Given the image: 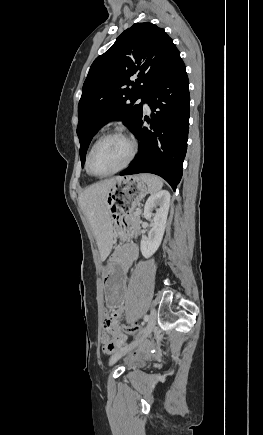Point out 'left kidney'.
<instances>
[{
  "label": "left kidney",
  "mask_w": 263,
  "mask_h": 435,
  "mask_svg": "<svg viewBox=\"0 0 263 435\" xmlns=\"http://www.w3.org/2000/svg\"><path fill=\"white\" fill-rule=\"evenodd\" d=\"M170 197L169 191L161 190L152 194L145 203L143 215L147 220L152 219L153 221L148 236L142 238L140 242L141 253L145 258L151 257L161 244L167 222Z\"/></svg>",
  "instance_id": "5707ae66"
}]
</instances>
